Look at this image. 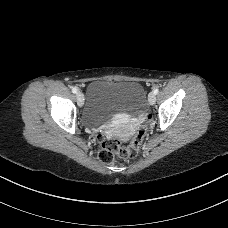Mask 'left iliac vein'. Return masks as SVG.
<instances>
[{
  "label": "left iliac vein",
  "instance_id": "4c4485c4",
  "mask_svg": "<svg viewBox=\"0 0 228 228\" xmlns=\"http://www.w3.org/2000/svg\"><path fill=\"white\" fill-rule=\"evenodd\" d=\"M148 102L150 105H154L156 102V96L154 94V92H150L148 95Z\"/></svg>",
  "mask_w": 228,
  "mask_h": 228
}]
</instances>
